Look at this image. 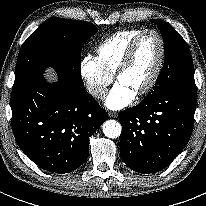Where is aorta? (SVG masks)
Returning a JSON list of instances; mask_svg holds the SVG:
<instances>
[{
	"label": "aorta",
	"mask_w": 206,
	"mask_h": 206,
	"mask_svg": "<svg viewBox=\"0 0 206 206\" xmlns=\"http://www.w3.org/2000/svg\"><path fill=\"white\" fill-rule=\"evenodd\" d=\"M121 125L116 120H107L103 124V133L106 137L114 139L120 136L121 134Z\"/></svg>",
	"instance_id": "aorta-1"
}]
</instances>
